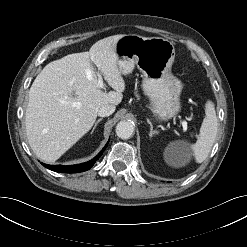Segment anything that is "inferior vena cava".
Masks as SVG:
<instances>
[{
    "label": "inferior vena cava",
    "instance_id": "1",
    "mask_svg": "<svg viewBox=\"0 0 247 247\" xmlns=\"http://www.w3.org/2000/svg\"><path fill=\"white\" fill-rule=\"evenodd\" d=\"M114 111H115L114 105L106 104V105H102L98 109V115L101 117H106V116H110Z\"/></svg>",
    "mask_w": 247,
    "mask_h": 247
}]
</instances>
